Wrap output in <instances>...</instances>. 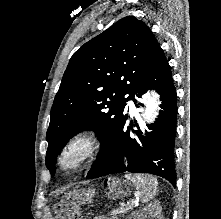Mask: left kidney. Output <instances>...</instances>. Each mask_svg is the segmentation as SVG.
<instances>
[{
    "mask_svg": "<svg viewBox=\"0 0 221 219\" xmlns=\"http://www.w3.org/2000/svg\"><path fill=\"white\" fill-rule=\"evenodd\" d=\"M163 219L161 215L160 202L155 201L148 206L144 207L142 210L132 213L130 219Z\"/></svg>",
    "mask_w": 221,
    "mask_h": 219,
    "instance_id": "5707ae66",
    "label": "left kidney"
}]
</instances>
